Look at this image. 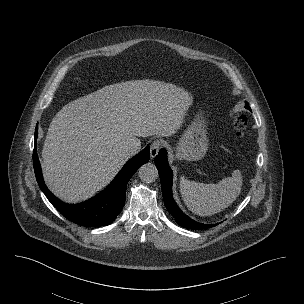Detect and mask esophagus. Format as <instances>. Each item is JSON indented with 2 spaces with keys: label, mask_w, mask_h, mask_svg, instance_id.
Wrapping results in <instances>:
<instances>
[{
  "label": "esophagus",
  "mask_w": 304,
  "mask_h": 304,
  "mask_svg": "<svg viewBox=\"0 0 304 304\" xmlns=\"http://www.w3.org/2000/svg\"><path fill=\"white\" fill-rule=\"evenodd\" d=\"M161 146H162V142L160 140H155L152 142V144L150 145L151 158H154L158 154Z\"/></svg>",
  "instance_id": "obj_1"
}]
</instances>
